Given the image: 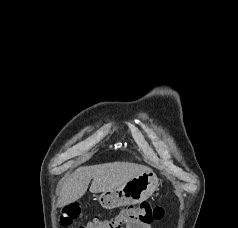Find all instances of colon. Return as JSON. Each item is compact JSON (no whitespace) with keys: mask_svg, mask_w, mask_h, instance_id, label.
Wrapping results in <instances>:
<instances>
[{"mask_svg":"<svg viewBox=\"0 0 238 228\" xmlns=\"http://www.w3.org/2000/svg\"><path fill=\"white\" fill-rule=\"evenodd\" d=\"M79 204H69L61 208L59 221L62 226H70L80 215ZM164 209L160 206L142 202L138 206H127L109 218H98L78 226V228H130L136 224L151 225L161 220Z\"/></svg>","mask_w":238,"mask_h":228,"instance_id":"colon-1","label":"colon"}]
</instances>
